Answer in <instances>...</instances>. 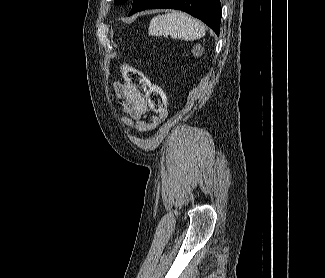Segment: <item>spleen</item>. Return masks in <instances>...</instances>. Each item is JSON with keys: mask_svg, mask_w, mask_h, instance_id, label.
<instances>
[{"mask_svg": "<svg viewBox=\"0 0 325 278\" xmlns=\"http://www.w3.org/2000/svg\"><path fill=\"white\" fill-rule=\"evenodd\" d=\"M169 34L172 39L193 41L205 35L203 24L181 12H171L154 17L150 21L149 35Z\"/></svg>", "mask_w": 325, "mask_h": 278, "instance_id": "1", "label": "spleen"}]
</instances>
